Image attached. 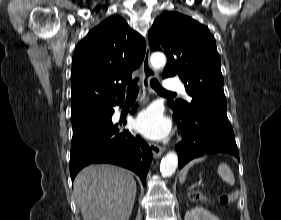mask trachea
Segmentation results:
<instances>
[{"instance_id":"trachea-1","label":"trachea","mask_w":281,"mask_h":220,"mask_svg":"<svg viewBox=\"0 0 281 220\" xmlns=\"http://www.w3.org/2000/svg\"><path fill=\"white\" fill-rule=\"evenodd\" d=\"M150 84L153 87V89L160 94L175 95L174 93L168 92L165 89H163L159 84V82L157 81V79L155 78L151 79ZM137 94H138V85H137V80H135L128 86L127 96L131 97V96H136Z\"/></svg>"}]
</instances>
